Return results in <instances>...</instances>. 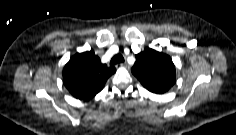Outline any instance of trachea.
Listing matches in <instances>:
<instances>
[{
	"instance_id": "trachea-1",
	"label": "trachea",
	"mask_w": 236,
	"mask_h": 135,
	"mask_svg": "<svg viewBox=\"0 0 236 135\" xmlns=\"http://www.w3.org/2000/svg\"><path fill=\"white\" fill-rule=\"evenodd\" d=\"M124 62V57L121 54H116L112 57L110 64L115 65Z\"/></svg>"
}]
</instances>
